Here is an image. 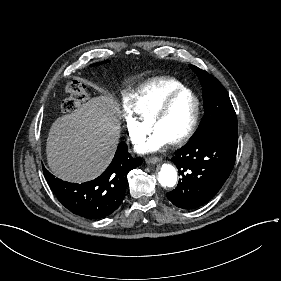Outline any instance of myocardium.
Returning <instances> with one entry per match:
<instances>
[{
  "label": "myocardium",
  "mask_w": 281,
  "mask_h": 281,
  "mask_svg": "<svg viewBox=\"0 0 281 281\" xmlns=\"http://www.w3.org/2000/svg\"><path fill=\"white\" fill-rule=\"evenodd\" d=\"M185 94L190 95L194 99L195 107H194L193 115L189 121L187 128L177 138L168 142L172 146H178L185 143L193 135L197 127L199 115H200V100L198 96L191 89L188 88L181 89L173 93L172 95L168 96L146 120L147 129L149 131H153L154 126L160 120V118L165 114V112L168 110L170 105L177 98Z\"/></svg>",
  "instance_id": "obj_1"
}]
</instances>
